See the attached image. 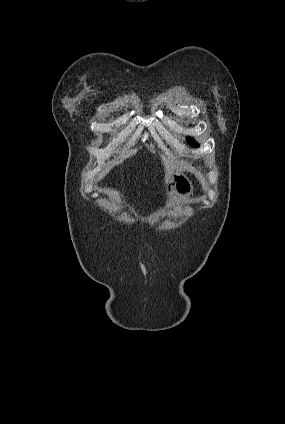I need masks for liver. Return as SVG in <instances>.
I'll return each mask as SVG.
<instances>
[{"label": "liver", "instance_id": "liver-1", "mask_svg": "<svg viewBox=\"0 0 285 424\" xmlns=\"http://www.w3.org/2000/svg\"><path fill=\"white\" fill-rule=\"evenodd\" d=\"M164 166H165V182L167 183L170 179L171 175L175 171V166L169 159H164Z\"/></svg>", "mask_w": 285, "mask_h": 424}]
</instances>
